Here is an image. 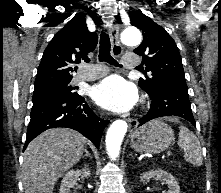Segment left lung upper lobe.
Masks as SVG:
<instances>
[{
	"instance_id": "1",
	"label": "left lung upper lobe",
	"mask_w": 221,
	"mask_h": 193,
	"mask_svg": "<svg viewBox=\"0 0 221 193\" xmlns=\"http://www.w3.org/2000/svg\"><path fill=\"white\" fill-rule=\"evenodd\" d=\"M130 19L131 24L141 29L143 34V42L134 52L143 56L145 69L151 72L150 76L139 79V86L148 93L160 83H186L181 56L172 37L143 13L134 11Z\"/></svg>"
}]
</instances>
